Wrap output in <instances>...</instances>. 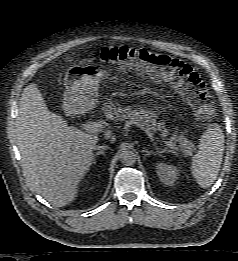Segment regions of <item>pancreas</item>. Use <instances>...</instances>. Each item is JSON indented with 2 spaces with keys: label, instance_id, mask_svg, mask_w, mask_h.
I'll return each mask as SVG.
<instances>
[{
  "label": "pancreas",
  "instance_id": "1",
  "mask_svg": "<svg viewBox=\"0 0 238 261\" xmlns=\"http://www.w3.org/2000/svg\"><path fill=\"white\" fill-rule=\"evenodd\" d=\"M104 115L107 119L111 121H125L130 119L137 125L145 126L149 131H157L161 132L162 137H166L169 132L161 123H158L155 115L148 110H144L141 108H133L131 106H121L115 105L112 100L104 103V107L102 108ZM170 141L174 144L179 145L180 152L184 155H192L196 150V146L192 141H189L185 138L184 135H176L173 134L170 138Z\"/></svg>",
  "mask_w": 238,
  "mask_h": 261
}]
</instances>
